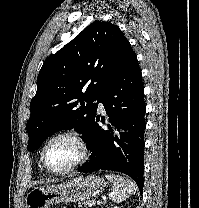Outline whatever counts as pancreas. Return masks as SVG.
Wrapping results in <instances>:
<instances>
[{"instance_id": "pancreas-1", "label": "pancreas", "mask_w": 199, "mask_h": 208, "mask_svg": "<svg viewBox=\"0 0 199 208\" xmlns=\"http://www.w3.org/2000/svg\"><path fill=\"white\" fill-rule=\"evenodd\" d=\"M96 201L95 200H87L80 203L79 207H92L95 206Z\"/></svg>"}]
</instances>
